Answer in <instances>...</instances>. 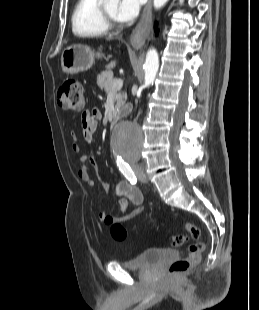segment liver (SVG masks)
Returning a JSON list of instances; mask_svg holds the SVG:
<instances>
[{
	"instance_id": "obj_1",
	"label": "liver",
	"mask_w": 259,
	"mask_h": 310,
	"mask_svg": "<svg viewBox=\"0 0 259 310\" xmlns=\"http://www.w3.org/2000/svg\"><path fill=\"white\" fill-rule=\"evenodd\" d=\"M115 66H116V61H112V62L108 65L109 68H113V67H115Z\"/></svg>"
}]
</instances>
